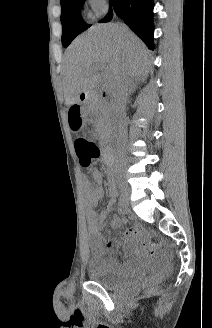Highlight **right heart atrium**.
Returning a JSON list of instances; mask_svg holds the SVG:
<instances>
[{
    "label": "right heart atrium",
    "mask_w": 212,
    "mask_h": 328,
    "mask_svg": "<svg viewBox=\"0 0 212 328\" xmlns=\"http://www.w3.org/2000/svg\"><path fill=\"white\" fill-rule=\"evenodd\" d=\"M90 9L88 15L92 19H98L107 13L109 9L108 0H89Z\"/></svg>",
    "instance_id": "d8ad5b80"
}]
</instances>
